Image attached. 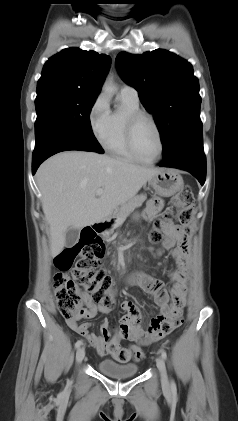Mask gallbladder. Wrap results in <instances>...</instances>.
<instances>
[{"label":"gallbladder","instance_id":"1","mask_svg":"<svg viewBox=\"0 0 238 421\" xmlns=\"http://www.w3.org/2000/svg\"><path fill=\"white\" fill-rule=\"evenodd\" d=\"M79 240V230L68 228L65 235V247L72 248Z\"/></svg>","mask_w":238,"mask_h":421}]
</instances>
